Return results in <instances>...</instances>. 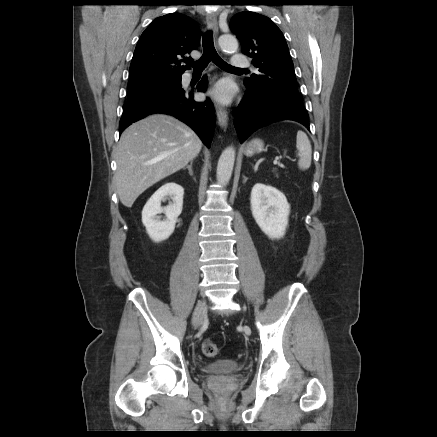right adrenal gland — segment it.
I'll list each match as a JSON object with an SVG mask.
<instances>
[{"instance_id": "1", "label": "right adrenal gland", "mask_w": 437, "mask_h": 437, "mask_svg": "<svg viewBox=\"0 0 437 437\" xmlns=\"http://www.w3.org/2000/svg\"><path fill=\"white\" fill-rule=\"evenodd\" d=\"M193 161L190 162V164L186 167L189 171V174L193 176V170H192Z\"/></svg>"}]
</instances>
